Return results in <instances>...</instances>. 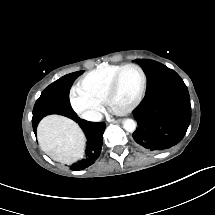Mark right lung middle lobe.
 <instances>
[{
    "label": "right lung middle lobe",
    "instance_id": "1",
    "mask_svg": "<svg viewBox=\"0 0 215 215\" xmlns=\"http://www.w3.org/2000/svg\"><path fill=\"white\" fill-rule=\"evenodd\" d=\"M81 74L82 71L68 74L49 85L35 103L32 121L49 114L75 117L69 101V91L74 80Z\"/></svg>",
    "mask_w": 215,
    "mask_h": 215
}]
</instances>
